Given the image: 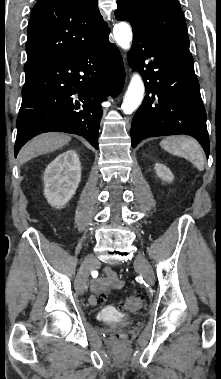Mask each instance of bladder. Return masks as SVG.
Here are the masks:
<instances>
[{"label":"bladder","mask_w":221,"mask_h":379,"mask_svg":"<svg viewBox=\"0 0 221 379\" xmlns=\"http://www.w3.org/2000/svg\"><path fill=\"white\" fill-rule=\"evenodd\" d=\"M98 318L99 320L103 321V322H111L112 321V318L110 315L102 312L98 315Z\"/></svg>","instance_id":"bladder-1"}]
</instances>
